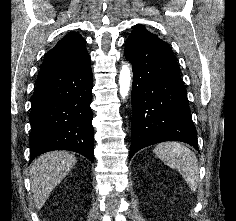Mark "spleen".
<instances>
[{
    "label": "spleen",
    "instance_id": "spleen-1",
    "mask_svg": "<svg viewBox=\"0 0 236 221\" xmlns=\"http://www.w3.org/2000/svg\"><path fill=\"white\" fill-rule=\"evenodd\" d=\"M154 153L166 165L178 170L191 190L197 189L199 182L198 160L190 148L179 142H163L154 148Z\"/></svg>",
    "mask_w": 236,
    "mask_h": 221
}]
</instances>
